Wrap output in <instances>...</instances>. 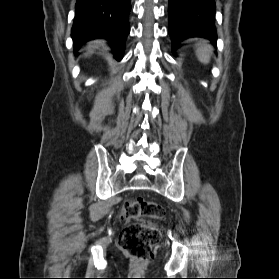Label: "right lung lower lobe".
<instances>
[{
  "mask_svg": "<svg viewBox=\"0 0 279 279\" xmlns=\"http://www.w3.org/2000/svg\"><path fill=\"white\" fill-rule=\"evenodd\" d=\"M75 9L71 35L75 50L88 40L105 38L111 43L115 59L120 61L130 32V0H77Z\"/></svg>",
  "mask_w": 279,
  "mask_h": 279,
  "instance_id": "obj_1",
  "label": "right lung lower lobe"
}]
</instances>
